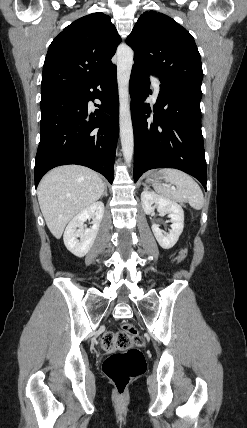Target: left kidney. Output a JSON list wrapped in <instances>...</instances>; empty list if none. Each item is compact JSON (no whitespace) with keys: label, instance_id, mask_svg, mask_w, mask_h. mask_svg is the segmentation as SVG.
I'll list each match as a JSON object with an SVG mask.
<instances>
[{"label":"left kidney","instance_id":"1","mask_svg":"<svg viewBox=\"0 0 247 428\" xmlns=\"http://www.w3.org/2000/svg\"><path fill=\"white\" fill-rule=\"evenodd\" d=\"M141 204L144 212L148 215L154 213L155 208L160 214H168L172 223L170 232L163 234V231L157 224L152 225V231L163 249L172 248L178 241L184 228V211L182 207L176 202L146 189L141 193Z\"/></svg>","mask_w":247,"mask_h":428}]
</instances>
